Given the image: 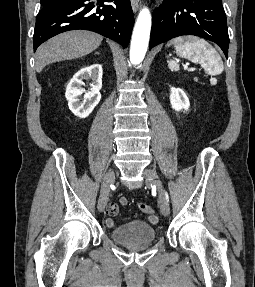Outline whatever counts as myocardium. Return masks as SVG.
<instances>
[{
    "instance_id": "f54148a6",
    "label": "myocardium",
    "mask_w": 255,
    "mask_h": 287,
    "mask_svg": "<svg viewBox=\"0 0 255 287\" xmlns=\"http://www.w3.org/2000/svg\"><path fill=\"white\" fill-rule=\"evenodd\" d=\"M147 39H159V38H147ZM139 48H145V47H139ZM164 48H168V47H164Z\"/></svg>"
}]
</instances>
